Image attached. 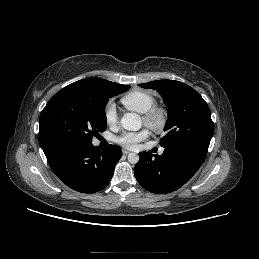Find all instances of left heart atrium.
Here are the masks:
<instances>
[{
    "instance_id": "obj_1",
    "label": "left heart atrium",
    "mask_w": 259,
    "mask_h": 259,
    "mask_svg": "<svg viewBox=\"0 0 259 259\" xmlns=\"http://www.w3.org/2000/svg\"><path fill=\"white\" fill-rule=\"evenodd\" d=\"M148 136L149 131L147 129L135 132L126 131L116 137V142L124 148L134 149L139 142L145 140Z\"/></svg>"
}]
</instances>
